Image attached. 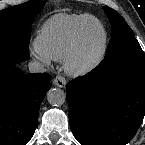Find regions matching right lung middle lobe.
<instances>
[{
    "label": "right lung middle lobe",
    "instance_id": "1",
    "mask_svg": "<svg viewBox=\"0 0 145 145\" xmlns=\"http://www.w3.org/2000/svg\"><path fill=\"white\" fill-rule=\"evenodd\" d=\"M44 4L30 0L0 11V65L18 64L29 58L31 25Z\"/></svg>",
    "mask_w": 145,
    "mask_h": 145
}]
</instances>
